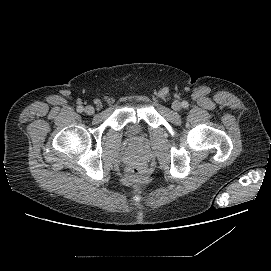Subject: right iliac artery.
Masks as SVG:
<instances>
[{"label": "right iliac artery", "instance_id": "obj_1", "mask_svg": "<svg viewBox=\"0 0 271 271\" xmlns=\"http://www.w3.org/2000/svg\"><path fill=\"white\" fill-rule=\"evenodd\" d=\"M84 111V107L83 106H78L77 107V112L81 113Z\"/></svg>", "mask_w": 271, "mask_h": 271}]
</instances>
